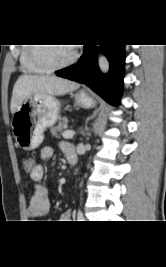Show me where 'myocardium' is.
I'll return each instance as SVG.
<instances>
[{
	"instance_id": "myocardium-1",
	"label": "myocardium",
	"mask_w": 166,
	"mask_h": 267,
	"mask_svg": "<svg viewBox=\"0 0 166 267\" xmlns=\"http://www.w3.org/2000/svg\"><path fill=\"white\" fill-rule=\"evenodd\" d=\"M34 45L35 46H32V59L37 65H39L40 67L44 68L47 71H57L60 69L67 68L71 66L73 63H75L78 58V51L77 49H74L71 57L66 62L60 64H51L41 56L40 44H34Z\"/></svg>"
}]
</instances>
